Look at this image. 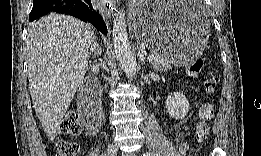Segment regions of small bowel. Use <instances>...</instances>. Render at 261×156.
I'll use <instances>...</instances> for the list:
<instances>
[{"label":"small bowel","mask_w":261,"mask_h":156,"mask_svg":"<svg viewBox=\"0 0 261 156\" xmlns=\"http://www.w3.org/2000/svg\"><path fill=\"white\" fill-rule=\"evenodd\" d=\"M187 149H188L187 143L181 142V143H180V146H179V151H180V153H181L182 155H185Z\"/></svg>","instance_id":"small-bowel-1"}]
</instances>
